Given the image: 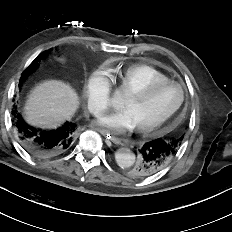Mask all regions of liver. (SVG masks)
<instances>
[{
	"label": "liver",
	"instance_id": "6515ba94",
	"mask_svg": "<svg viewBox=\"0 0 232 232\" xmlns=\"http://www.w3.org/2000/svg\"><path fill=\"white\" fill-rule=\"evenodd\" d=\"M76 92L62 81L49 80L37 85L24 107L26 121L41 128H55L77 110Z\"/></svg>",
	"mask_w": 232,
	"mask_h": 232
}]
</instances>
